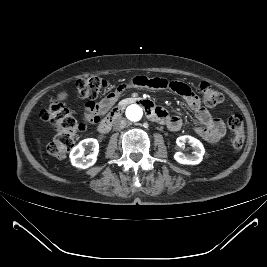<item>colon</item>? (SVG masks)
Wrapping results in <instances>:
<instances>
[{
    "label": "colon",
    "instance_id": "obj_1",
    "mask_svg": "<svg viewBox=\"0 0 267 267\" xmlns=\"http://www.w3.org/2000/svg\"><path fill=\"white\" fill-rule=\"evenodd\" d=\"M75 91L81 99L94 100L108 87V81L102 77L91 76L78 79ZM202 102L208 107L220 105L224 97L220 91L209 83L203 82L199 86ZM41 118L50 122L55 128V135L46 147V153L55 158H63L75 145L83 124L60 101L53 100L41 111ZM228 127L233 133L232 145L239 150L245 142L243 118L233 114L228 118Z\"/></svg>",
    "mask_w": 267,
    "mask_h": 267
}]
</instances>
